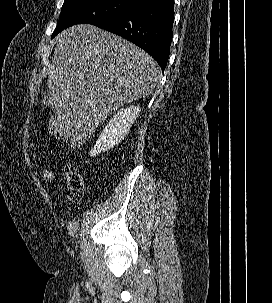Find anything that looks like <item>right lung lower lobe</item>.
Here are the masks:
<instances>
[{"mask_svg":"<svg viewBox=\"0 0 272 303\" xmlns=\"http://www.w3.org/2000/svg\"><path fill=\"white\" fill-rule=\"evenodd\" d=\"M173 22L174 0H154L93 25L133 42L164 70L170 54Z\"/></svg>","mask_w":272,"mask_h":303,"instance_id":"right-lung-lower-lobe-1","label":"right lung lower lobe"}]
</instances>
